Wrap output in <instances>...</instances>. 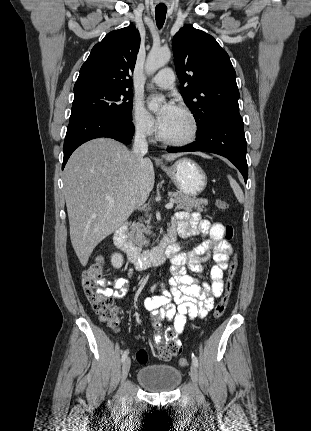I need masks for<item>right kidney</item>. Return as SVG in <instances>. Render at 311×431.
<instances>
[{
  "instance_id": "right-kidney-1",
  "label": "right kidney",
  "mask_w": 311,
  "mask_h": 431,
  "mask_svg": "<svg viewBox=\"0 0 311 431\" xmlns=\"http://www.w3.org/2000/svg\"><path fill=\"white\" fill-rule=\"evenodd\" d=\"M111 263L114 265V267H122L124 263V257L122 253H112Z\"/></svg>"
}]
</instances>
